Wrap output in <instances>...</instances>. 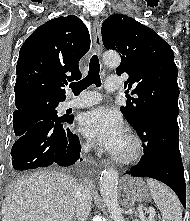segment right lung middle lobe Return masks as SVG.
<instances>
[{
  "instance_id": "obj_1",
  "label": "right lung middle lobe",
  "mask_w": 190,
  "mask_h": 221,
  "mask_svg": "<svg viewBox=\"0 0 190 221\" xmlns=\"http://www.w3.org/2000/svg\"><path fill=\"white\" fill-rule=\"evenodd\" d=\"M57 106L58 103L42 104L13 114V128L16 137L24 135L31 126L39 121L63 119L64 116L58 117L57 115V111L55 110Z\"/></svg>"
}]
</instances>
